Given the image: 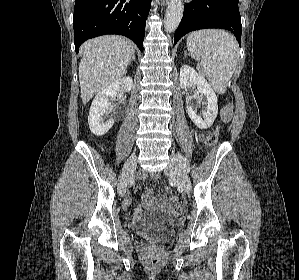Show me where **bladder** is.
Segmentation results:
<instances>
[{"instance_id":"1","label":"bladder","mask_w":299,"mask_h":280,"mask_svg":"<svg viewBox=\"0 0 299 280\" xmlns=\"http://www.w3.org/2000/svg\"><path fill=\"white\" fill-rule=\"evenodd\" d=\"M174 226L175 221L168 219L162 212L145 213L133 224V228L138 234L155 237L169 234Z\"/></svg>"}]
</instances>
